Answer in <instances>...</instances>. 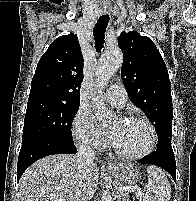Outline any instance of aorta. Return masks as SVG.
Returning <instances> with one entry per match:
<instances>
[{"mask_svg": "<svg viewBox=\"0 0 196 201\" xmlns=\"http://www.w3.org/2000/svg\"><path fill=\"white\" fill-rule=\"evenodd\" d=\"M122 63L123 55L119 49L107 50L101 56L96 70V84L99 89H103L107 85L109 79L118 71ZM93 104L103 122H108L115 117L114 113L106 107L102 98L98 96L95 97L93 99ZM101 201H113L109 190L103 191Z\"/></svg>", "mask_w": 196, "mask_h": 201, "instance_id": "1", "label": "aorta"}]
</instances>
